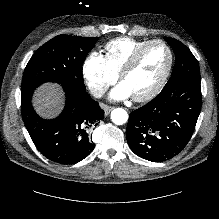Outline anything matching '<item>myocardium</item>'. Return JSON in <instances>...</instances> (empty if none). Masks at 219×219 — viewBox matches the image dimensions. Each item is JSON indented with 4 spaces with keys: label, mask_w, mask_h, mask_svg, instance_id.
Masks as SVG:
<instances>
[{
    "label": "myocardium",
    "mask_w": 219,
    "mask_h": 219,
    "mask_svg": "<svg viewBox=\"0 0 219 219\" xmlns=\"http://www.w3.org/2000/svg\"><path fill=\"white\" fill-rule=\"evenodd\" d=\"M155 44H160L166 48L168 55H169V62H168V65L166 67V70L163 73V75L161 76V78L156 82V84L149 91H147L146 93L141 94V95L132 96V98L137 102H143V101H147V100L152 99L162 90V88L166 84V82L171 74L173 64H174V54H173L171 47L163 40H159V39L150 40L144 46L137 49L127 59V61L124 63V65L122 66V68L119 71V79L122 81L124 76L128 72H130L132 70V68L137 64V62L139 61L141 56L144 54V52L150 46L155 45Z\"/></svg>",
    "instance_id": "1"
}]
</instances>
